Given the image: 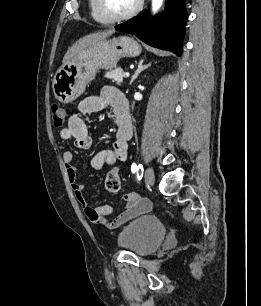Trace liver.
I'll list each match as a JSON object with an SVG mask.
<instances>
[{"label": "liver", "instance_id": "1", "mask_svg": "<svg viewBox=\"0 0 261 306\" xmlns=\"http://www.w3.org/2000/svg\"><path fill=\"white\" fill-rule=\"evenodd\" d=\"M113 33H115V30L110 29L107 31L92 33V34H89L87 36L80 38L68 49V51L64 55L62 65L68 63L70 60H72L76 55H78L85 48L93 45L94 43L98 41L106 39Z\"/></svg>", "mask_w": 261, "mask_h": 306}]
</instances>
